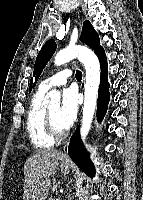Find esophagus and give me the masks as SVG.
Listing matches in <instances>:
<instances>
[{
	"instance_id": "esophagus-1",
	"label": "esophagus",
	"mask_w": 143,
	"mask_h": 200,
	"mask_svg": "<svg viewBox=\"0 0 143 200\" xmlns=\"http://www.w3.org/2000/svg\"><path fill=\"white\" fill-rule=\"evenodd\" d=\"M64 159H65V160H68V157H67V156H64Z\"/></svg>"
}]
</instances>
